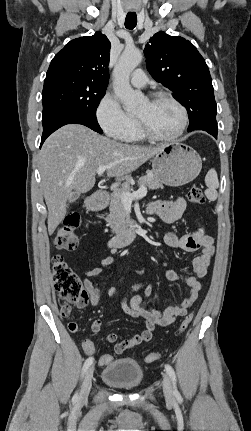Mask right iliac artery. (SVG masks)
<instances>
[{"label": "right iliac artery", "instance_id": "obj_1", "mask_svg": "<svg viewBox=\"0 0 251 431\" xmlns=\"http://www.w3.org/2000/svg\"><path fill=\"white\" fill-rule=\"evenodd\" d=\"M93 357H89L88 359H86L83 368H82V376L86 373V371L88 370V368L91 366V364L93 363ZM78 398V394L76 393L73 397L74 400H77Z\"/></svg>", "mask_w": 251, "mask_h": 431}]
</instances>
